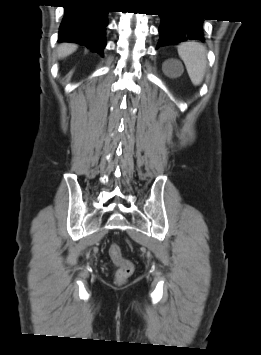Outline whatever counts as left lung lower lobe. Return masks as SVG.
I'll list each match as a JSON object with an SVG mask.
<instances>
[{"label":"left lung lower lobe","mask_w":261,"mask_h":355,"mask_svg":"<svg viewBox=\"0 0 261 355\" xmlns=\"http://www.w3.org/2000/svg\"><path fill=\"white\" fill-rule=\"evenodd\" d=\"M162 18L159 28L160 39L158 47L174 45L188 40L203 41V19L195 17H179L160 15Z\"/></svg>","instance_id":"1"}]
</instances>
